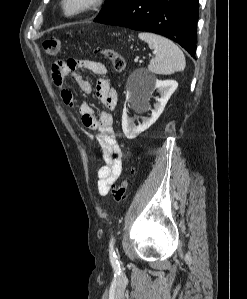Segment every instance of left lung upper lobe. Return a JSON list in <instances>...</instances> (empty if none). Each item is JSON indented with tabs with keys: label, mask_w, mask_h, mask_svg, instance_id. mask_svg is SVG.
Wrapping results in <instances>:
<instances>
[{
	"label": "left lung upper lobe",
	"mask_w": 247,
	"mask_h": 299,
	"mask_svg": "<svg viewBox=\"0 0 247 299\" xmlns=\"http://www.w3.org/2000/svg\"><path fill=\"white\" fill-rule=\"evenodd\" d=\"M124 0H106L104 8L100 11L99 15L94 21H99L107 16L111 15L118 7L123 3Z\"/></svg>",
	"instance_id": "1"
}]
</instances>
